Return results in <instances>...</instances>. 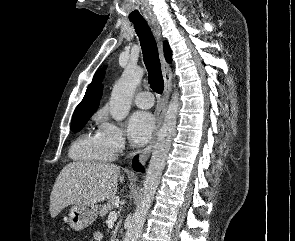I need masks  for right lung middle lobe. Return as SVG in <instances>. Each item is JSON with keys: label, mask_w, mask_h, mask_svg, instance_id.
<instances>
[{"label": "right lung middle lobe", "mask_w": 295, "mask_h": 241, "mask_svg": "<svg viewBox=\"0 0 295 241\" xmlns=\"http://www.w3.org/2000/svg\"><path fill=\"white\" fill-rule=\"evenodd\" d=\"M93 113H82L73 115L71 129L74 132L80 131Z\"/></svg>", "instance_id": "right-lung-middle-lobe-1"}]
</instances>
